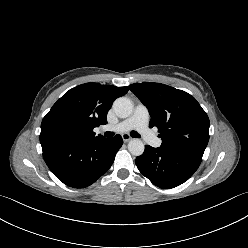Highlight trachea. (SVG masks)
<instances>
[{
  "label": "trachea",
  "instance_id": "obj_1",
  "mask_svg": "<svg viewBox=\"0 0 248 248\" xmlns=\"http://www.w3.org/2000/svg\"><path fill=\"white\" fill-rule=\"evenodd\" d=\"M130 135L132 136V137H135V138H140V135L137 133V132H135V131H132L131 133H130ZM104 136L105 137H112V136H114V133L113 132H105L104 133Z\"/></svg>",
  "mask_w": 248,
  "mask_h": 248
}]
</instances>
